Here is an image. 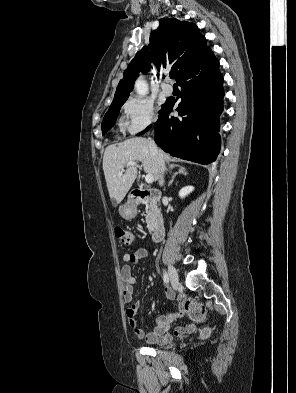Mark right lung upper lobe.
<instances>
[{
	"label": "right lung upper lobe",
	"instance_id": "cb5924a9",
	"mask_svg": "<svg viewBox=\"0 0 296 393\" xmlns=\"http://www.w3.org/2000/svg\"><path fill=\"white\" fill-rule=\"evenodd\" d=\"M206 39L195 24L174 18L160 19V25L150 35L149 47H143L123 73L114 100L127 99L140 71L150 69L151 60L157 69L172 66L177 79L207 50Z\"/></svg>",
	"mask_w": 296,
	"mask_h": 393
}]
</instances>
